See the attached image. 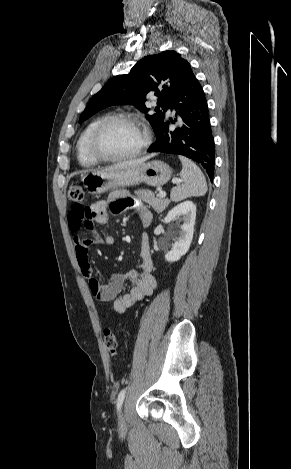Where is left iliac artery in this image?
I'll return each mask as SVG.
<instances>
[{"instance_id": "obj_1", "label": "left iliac artery", "mask_w": 291, "mask_h": 469, "mask_svg": "<svg viewBox=\"0 0 291 469\" xmlns=\"http://www.w3.org/2000/svg\"><path fill=\"white\" fill-rule=\"evenodd\" d=\"M125 393H126V389H122L118 395V398H117V410L119 411L122 404H123V401H124V398H125Z\"/></svg>"}]
</instances>
